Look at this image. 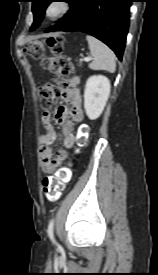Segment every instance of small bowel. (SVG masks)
<instances>
[{"label":"small bowel","mask_w":158,"mask_h":275,"mask_svg":"<svg viewBox=\"0 0 158 275\" xmlns=\"http://www.w3.org/2000/svg\"><path fill=\"white\" fill-rule=\"evenodd\" d=\"M78 79L71 81L70 87L64 93L66 105L56 108L54 118L62 127L60 134L65 148H71L75 144L74 126L83 120L82 100L80 91L77 88ZM42 122L46 133L39 138V151L41 156V168L45 173L52 172L61 162L67 158V151L59 149L55 154L52 151V144L58 136V133L52 126V114L50 110L42 113Z\"/></svg>","instance_id":"1"}]
</instances>
